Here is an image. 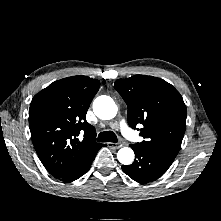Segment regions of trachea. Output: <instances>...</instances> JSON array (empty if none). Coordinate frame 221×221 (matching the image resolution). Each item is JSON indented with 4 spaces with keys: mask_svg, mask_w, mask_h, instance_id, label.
Returning <instances> with one entry per match:
<instances>
[{
    "mask_svg": "<svg viewBox=\"0 0 221 221\" xmlns=\"http://www.w3.org/2000/svg\"><path fill=\"white\" fill-rule=\"evenodd\" d=\"M98 142H114L117 143V136L113 131H104L98 135Z\"/></svg>",
    "mask_w": 221,
    "mask_h": 221,
    "instance_id": "trachea-1",
    "label": "trachea"
}]
</instances>
